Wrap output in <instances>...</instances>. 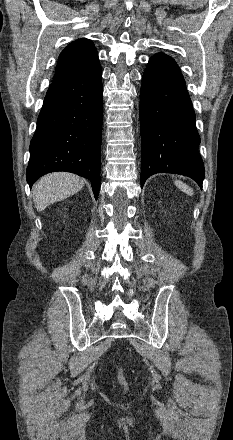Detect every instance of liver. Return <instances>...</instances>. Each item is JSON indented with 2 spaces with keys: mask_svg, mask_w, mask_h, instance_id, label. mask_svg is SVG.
<instances>
[{
  "mask_svg": "<svg viewBox=\"0 0 233 440\" xmlns=\"http://www.w3.org/2000/svg\"><path fill=\"white\" fill-rule=\"evenodd\" d=\"M85 180L72 173L56 172L41 177L33 187V201L37 211L64 200L80 191Z\"/></svg>",
  "mask_w": 233,
  "mask_h": 440,
  "instance_id": "1",
  "label": "liver"
}]
</instances>
